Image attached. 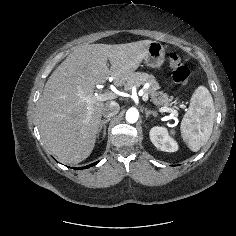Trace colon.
Instances as JSON below:
<instances>
[{
  "label": "colon",
  "mask_w": 236,
  "mask_h": 236,
  "mask_svg": "<svg viewBox=\"0 0 236 236\" xmlns=\"http://www.w3.org/2000/svg\"><path fill=\"white\" fill-rule=\"evenodd\" d=\"M168 62L172 69L174 82L186 87L189 84L190 70L185 66L182 57L176 52H171L168 56Z\"/></svg>",
  "instance_id": "obj_1"
}]
</instances>
